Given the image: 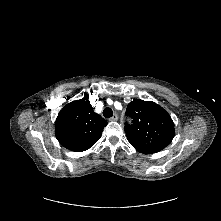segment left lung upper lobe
<instances>
[{
  "instance_id": "obj_1",
  "label": "left lung upper lobe",
  "mask_w": 221,
  "mask_h": 221,
  "mask_svg": "<svg viewBox=\"0 0 221 221\" xmlns=\"http://www.w3.org/2000/svg\"><path fill=\"white\" fill-rule=\"evenodd\" d=\"M125 132L130 144L140 153H157L164 149L175 135L174 123L161 106L152 101L134 99L127 106Z\"/></svg>"
}]
</instances>
